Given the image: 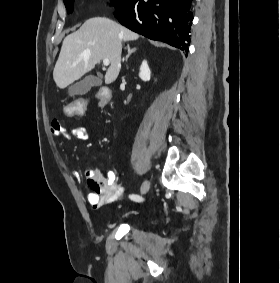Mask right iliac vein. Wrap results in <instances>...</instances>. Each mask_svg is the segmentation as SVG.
Wrapping results in <instances>:
<instances>
[{
	"label": "right iliac vein",
	"instance_id": "1",
	"mask_svg": "<svg viewBox=\"0 0 280 283\" xmlns=\"http://www.w3.org/2000/svg\"><path fill=\"white\" fill-rule=\"evenodd\" d=\"M150 189V183L149 181H145L141 186V194H146Z\"/></svg>",
	"mask_w": 280,
	"mask_h": 283
}]
</instances>
